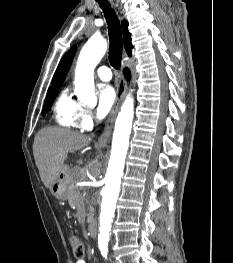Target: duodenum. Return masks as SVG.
Masks as SVG:
<instances>
[{"label": "duodenum", "mask_w": 233, "mask_h": 263, "mask_svg": "<svg viewBox=\"0 0 233 263\" xmlns=\"http://www.w3.org/2000/svg\"><path fill=\"white\" fill-rule=\"evenodd\" d=\"M89 228V234L92 238L96 237L97 235V224L95 221H92L88 225Z\"/></svg>", "instance_id": "410a0bca"}]
</instances>
